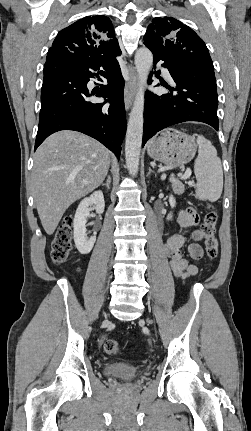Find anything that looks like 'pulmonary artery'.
I'll return each instance as SVG.
<instances>
[{"label":"pulmonary artery","mask_w":251,"mask_h":431,"mask_svg":"<svg viewBox=\"0 0 251 431\" xmlns=\"http://www.w3.org/2000/svg\"><path fill=\"white\" fill-rule=\"evenodd\" d=\"M161 71H162V74H163V76H164V77H166L167 79H170V78H171V74H170V72L168 71V69H166V68H162V69H161Z\"/></svg>","instance_id":"1"}]
</instances>
